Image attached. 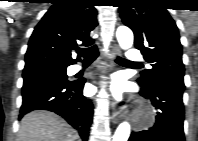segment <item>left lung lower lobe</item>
<instances>
[{
  "label": "left lung lower lobe",
  "mask_w": 198,
  "mask_h": 141,
  "mask_svg": "<svg viewBox=\"0 0 198 141\" xmlns=\"http://www.w3.org/2000/svg\"><path fill=\"white\" fill-rule=\"evenodd\" d=\"M185 85L174 80H159L141 94L151 100L156 110V122L150 130L133 132L129 141H184V106L182 101Z\"/></svg>",
  "instance_id": "left-lung-lower-lobe-1"
}]
</instances>
